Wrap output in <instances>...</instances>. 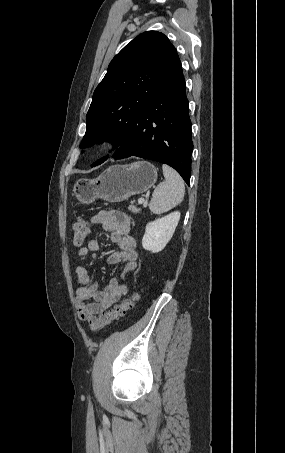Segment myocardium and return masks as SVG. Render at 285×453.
<instances>
[{
  "instance_id": "myocardium-1",
  "label": "myocardium",
  "mask_w": 285,
  "mask_h": 453,
  "mask_svg": "<svg viewBox=\"0 0 285 453\" xmlns=\"http://www.w3.org/2000/svg\"><path fill=\"white\" fill-rule=\"evenodd\" d=\"M111 144V139L109 138H104L99 142V146L102 148H106Z\"/></svg>"
}]
</instances>
